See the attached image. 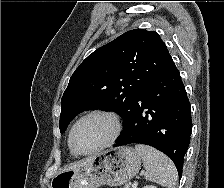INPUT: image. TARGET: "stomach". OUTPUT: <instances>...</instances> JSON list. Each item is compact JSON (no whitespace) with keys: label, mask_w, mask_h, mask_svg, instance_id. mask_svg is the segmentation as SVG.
I'll list each match as a JSON object with an SVG mask.
<instances>
[{"label":"stomach","mask_w":224,"mask_h":188,"mask_svg":"<svg viewBox=\"0 0 224 188\" xmlns=\"http://www.w3.org/2000/svg\"><path fill=\"white\" fill-rule=\"evenodd\" d=\"M141 156L132 147L110 148L76 169L61 171L51 180L50 188H98L119 186L140 170Z\"/></svg>","instance_id":"0dacf381"}]
</instances>
